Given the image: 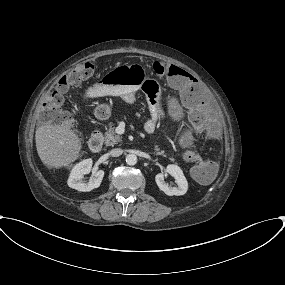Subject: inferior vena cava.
I'll return each mask as SVG.
<instances>
[{
  "mask_svg": "<svg viewBox=\"0 0 285 285\" xmlns=\"http://www.w3.org/2000/svg\"><path fill=\"white\" fill-rule=\"evenodd\" d=\"M123 150L121 148H114L110 151V155L113 157H118L120 155H122Z\"/></svg>",
  "mask_w": 285,
  "mask_h": 285,
  "instance_id": "obj_1",
  "label": "inferior vena cava"
}]
</instances>
